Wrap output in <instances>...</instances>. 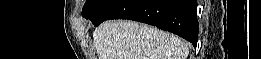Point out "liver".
<instances>
[{"label":"liver","mask_w":261,"mask_h":59,"mask_svg":"<svg viewBox=\"0 0 261 59\" xmlns=\"http://www.w3.org/2000/svg\"><path fill=\"white\" fill-rule=\"evenodd\" d=\"M99 59H186V42L129 20L106 21L93 33Z\"/></svg>","instance_id":"liver-1"}]
</instances>
